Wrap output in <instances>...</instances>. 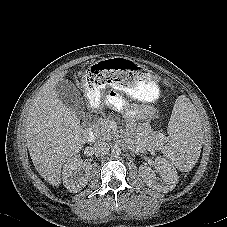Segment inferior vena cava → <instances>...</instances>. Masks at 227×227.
<instances>
[{"label":"inferior vena cava","instance_id":"602c4592","mask_svg":"<svg viewBox=\"0 0 227 227\" xmlns=\"http://www.w3.org/2000/svg\"><path fill=\"white\" fill-rule=\"evenodd\" d=\"M110 146L104 141H100L94 144V150L97 155L104 156L109 153Z\"/></svg>","mask_w":227,"mask_h":227}]
</instances>
